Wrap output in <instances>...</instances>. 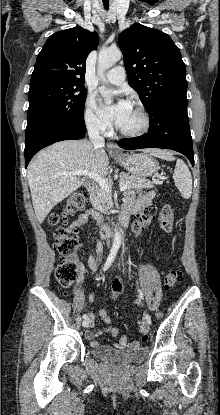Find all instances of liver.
<instances>
[{
    "label": "liver",
    "mask_w": 220,
    "mask_h": 415,
    "mask_svg": "<svg viewBox=\"0 0 220 415\" xmlns=\"http://www.w3.org/2000/svg\"><path fill=\"white\" fill-rule=\"evenodd\" d=\"M109 158L103 148L95 149L88 140H66L38 153L27 170L32 204L39 223L59 202L84 184L86 176L66 173L85 170L107 176Z\"/></svg>",
    "instance_id": "obj_1"
}]
</instances>
